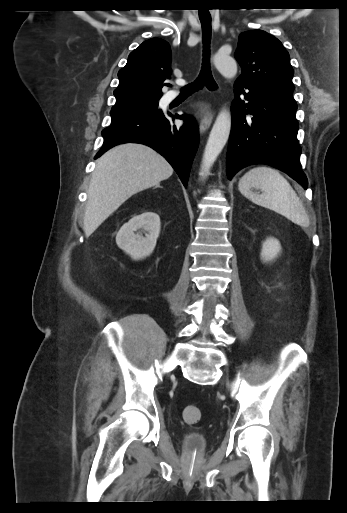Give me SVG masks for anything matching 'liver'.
Here are the masks:
<instances>
[{"label": "liver", "instance_id": "6515ba94", "mask_svg": "<svg viewBox=\"0 0 347 513\" xmlns=\"http://www.w3.org/2000/svg\"><path fill=\"white\" fill-rule=\"evenodd\" d=\"M173 174L152 148L138 143L115 146L103 154L92 173L83 230L90 236L132 195L159 185Z\"/></svg>", "mask_w": 347, "mask_h": 513}]
</instances>
